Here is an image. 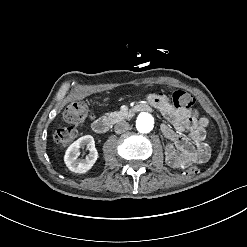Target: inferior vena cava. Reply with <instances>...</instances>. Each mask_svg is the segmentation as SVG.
<instances>
[{"instance_id":"obj_1","label":"inferior vena cava","mask_w":247,"mask_h":247,"mask_svg":"<svg viewBox=\"0 0 247 247\" xmlns=\"http://www.w3.org/2000/svg\"><path fill=\"white\" fill-rule=\"evenodd\" d=\"M114 129L117 134L124 133L129 129V123H127L126 121H120L116 123Z\"/></svg>"}]
</instances>
